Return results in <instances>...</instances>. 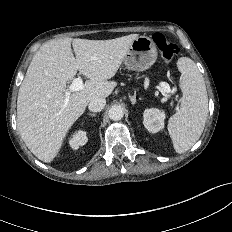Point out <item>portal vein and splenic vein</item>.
<instances>
[{
  "instance_id": "portal-vein-and-splenic-vein-1",
  "label": "portal vein and splenic vein",
  "mask_w": 232,
  "mask_h": 232,
  "mask_svg": "<svg viewBox=\"0 0 232 232\" xmlns=\"http://www.w3.org/2000/svg\"><path fill=\"white\" fill-rule=\"evenodd\" d=\"M160 87L162 90L169 94L171 92V88L168 83L161 82ZM84 89V83L81 77L75 78L72 83L69 85L68 89L65 92L64 106H66L69 102V97L72 92L80 91Z\"/></svg>"
}]
</instances>
